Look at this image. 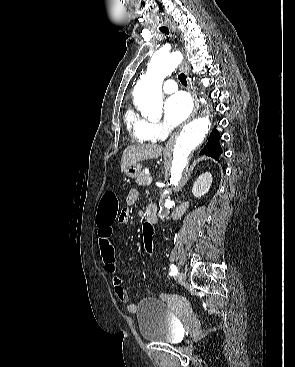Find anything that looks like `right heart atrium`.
<instances>
[{
    "instance_id": "right-heart-atrium-1",
    "label": "right heart atrium",
    "mask_w": 295,
    "mask_h": 367,
    "mask_svg": "<svg viewBox=\"0 0 295 367\" xmlns=\"http://www.w3.org/2000/svg\"><path fill=\"white\" fill-rule=\"evenodd\" d=\"M150 131L155 139H161L168 133L167 127L162 123H151Z\"/></svg>"
}]
</instances>
